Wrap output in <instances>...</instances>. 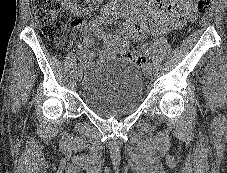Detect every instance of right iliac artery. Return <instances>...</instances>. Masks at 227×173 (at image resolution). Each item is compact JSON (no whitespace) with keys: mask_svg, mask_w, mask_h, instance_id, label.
<instances>
[{"mask_svg":"<svg viewBox=\"0 0 227 173\" xmlns=\"http://www.w3.org/2000/svg\"><path fill=\"white\" fill-rule=\"evenodd\" d=\"M114 14H116V13L113 12V9H112V11H111L110 8H107L105 10V15H107V16H109V15H112L113 16ZM102 19L105 20V18H102ZM83 66H84V63L82 61L80 63H78V67L79 68H83Z\"/></svg>","mask_w":227,"mask_h":173,"instance_id":"right-iliac-artery-1","label":"right iliac artery"}]
</instances>
